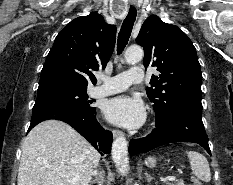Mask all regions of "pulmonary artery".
<instances>
[{"label": "pulmonary artery", "mask_w": 233, "mask_h": 185, "mask_svg": "<svg viewBox=\"0 0 233 185\" xmlns=\"http://www.w3.org/2000/svg\"><path fill=\"white\" fill-rule=\"evenodd\" d=\"M102 84L93 89V94L106 96L125 90L131 84L142 82L144 79L143 69L132 67L129 70L113 77L99 75Z\"/></svg>", "instance_id": "pulmonary-artery-1"}]
</instances>
